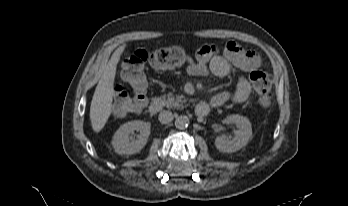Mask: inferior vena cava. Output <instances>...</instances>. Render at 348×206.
I'll return each instance as SVG.
<instances>
[{
	"instance_id": "obj_1",
	"label": "inferior vena cava",
	"mask_w": 348,
	"mask_h": 206,
	"mask_svg": "<svg viewBox=\"0 0 348 206\" xmlns=\"http://www.w3.org/2000/svg\"><path fill=\"white\" fill-rule=\"evenodd\" d=\"M174 116L171 111L163 110L159 113L158 120L162 124H168L173 120Z\"/></svg>"
}]
</instances>
